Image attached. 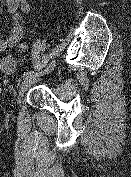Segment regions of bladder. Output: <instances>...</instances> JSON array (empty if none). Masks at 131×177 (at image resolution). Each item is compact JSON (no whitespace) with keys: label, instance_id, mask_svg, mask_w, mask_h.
<instances>
[{"label":"bladder","instance_id":"obj_1","mask_svg":"<svg viewBox=\"0 0 131 177\" xmlns=\"http://www.w3.org/2000/svg\"><path fill=\"white\" fill-rule=\"evenodd\" d=\"M0 68L6 72L14 73L16 71L14 67V61L12 58H6L2 61Z\"/></svg>","mask_w":131,"mask_h":177}]
</instances>
